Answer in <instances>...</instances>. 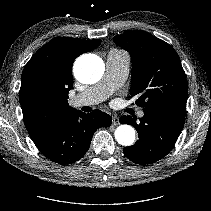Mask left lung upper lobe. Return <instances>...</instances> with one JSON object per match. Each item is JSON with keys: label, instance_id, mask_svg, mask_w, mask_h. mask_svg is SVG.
<instances>
[{"label": "left lung upper lobe", "instance_id": "1", "mask_svg": "<svg viewBox=\"0 0 211 211\" xmlns=\"http://www.w3.org/2000/svg\"><path fill=\"white\" fill-rule=\"evenodd\" d=\"M113 41L131 55L130 94L137 97V105H186V75L171 45L141 30L117 35Z\"/></svg>", "mask_w": 211, "mask_h": 211}]
</instances>
